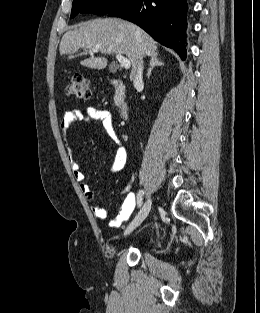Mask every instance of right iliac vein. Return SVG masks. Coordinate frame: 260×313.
<instances>
[{
	"mask_svg": "<svg viewBox=\"0 0 260 313\" xmlns=\"http://www.w3.org/2000/svg\"><path fill=\"white\" fill-rule=\"evenodd\" d=\"M151 206H152V199L148 198L146 202L144 203V205L142 206V208L140 209V211L138 212V214L135 216L133 221L130 223V225L126 229L124 233L125 235L130 234L136 227H138L143 222V220L149 214Z\"/></svg>",
	"mask_w": 260,
	"mask_h": 313,
	"instance_id": "obj_1",
	"label": "right iliac vein"
}]
</instances>
